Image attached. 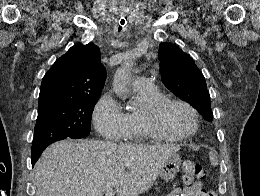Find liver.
Instances as JSON below:
<instances>
[{"instance_id": "liver-1", "label": "liver", "mask_w": 260, "mask_h": 196, "mask_svg": "<svg viewBox=\"0 0 260 196\" xmlns=\"http://www.w3.org/2000/svg\"><path fill=\"white\" fill-rule=\"evenodd\" d=\"M181 150L174 144L137 146L62 140L44 150L33 168L36 196H140L152 188L164 162Z\"/></svg>"}]
</instances>
